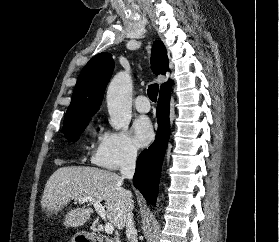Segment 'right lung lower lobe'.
I'll list each match as a JSON object with an SVG mask.
<instances>
[{
	"mask_svg": "<svg viewBox=\"0 0 279 242\" xmlns=\"http://www.w3.org/2000/svg\"><path fill=\"white\" fill-rule=\"evenodd\" d=\"M170 90L160 93L157 106L158 131L154 143L138 157L134 186L150 204H155L165 149L169 139Z\"/></svg>",
	"mask_w": 279,
	"mask_h": 242,
	"instance_id": "98d812e1",
	"label": "right lung lower lobe"
}]
</instances>
